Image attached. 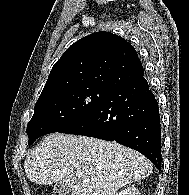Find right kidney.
I'll return each mask as SVG.
<instances>
[{
	"label": "right kidney",
	"mask_w": 189,
	"mask_h": 195,
	"mask_svg": "<svg viewBox=\"0 0 189 195\" xmlns=\"http://www.w3.org/2000/svg\"><path fill=\"white\" fill-rule=\"evenodd\" d=\"M116 195H140V191L135 186H130L121 190Z\"/></svg>",
	"instance_id": "1"
}]
</instances>
